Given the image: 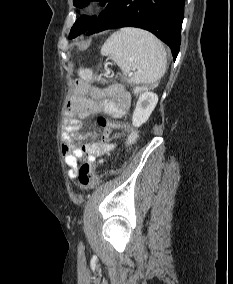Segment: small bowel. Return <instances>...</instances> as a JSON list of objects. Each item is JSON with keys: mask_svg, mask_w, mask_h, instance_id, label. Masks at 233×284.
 I'll list each match as a JSON object with an SVG mask.
<instances>
[{"mask_svg": "<svg viewBox=\"0 0 233 284\" xmlns=\"http://www.w3.org/2000/svg\"><path fill=\"white\" fill-rule=\"evenodd\" d=\"M130 101L129 92L121 86L101 89L81 80L73 82L66 104L68 120L62 145L65 164L69 168L68 176L71 179L77 176L80 161L86 159L89 163L101 164L100 158L111 153L117 138L116 135H111V127L107 126L100 142L79 143L85 138L80 133L82 119L95 113H105L114 119H120L129 108Z\"/></svg>", "mask_w": 233, "mask_h": 284, "instance_id": "obj_1", "label": "small bowel"}]
</instances>
